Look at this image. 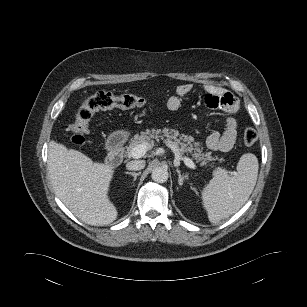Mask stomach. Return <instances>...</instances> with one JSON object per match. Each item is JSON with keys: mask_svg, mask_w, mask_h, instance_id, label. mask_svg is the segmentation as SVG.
I'll return each instance as SVG.
<instances>
[{"mask_svg": "<svg viewBox=\"0 0 307 307\" xmlns=\"http://www.w3.org/2000/svg\"><path fill=\"white\" fill-rule=\"evenodd\" d=\"M119 135H120L121 138H125L127 136V132L122 131V132L119 133Z\"/></svg>", "mask_w": 307, "mask_h": 307, "instance_id": "0dacf381", "label": "stomach"}]
</instances>
